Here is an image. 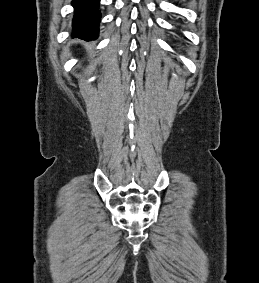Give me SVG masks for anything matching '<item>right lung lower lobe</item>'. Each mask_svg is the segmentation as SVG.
Returning a JSON list of instances; mask_svg holds the SVG:
<instances>
[{
	"instance_id": "98d812e1",
	"label": "right lung lower lobe",
	"mask_w": 259,
	"mask_h": 283,
	"mask_svg": "<svg viewBox=\"0 0 259 283\" xmlns=\"http://www.w3.org/2000/svg\"><path fill=\"white\" fill-rule=\"evenodd\" d=\"M99 0H73L75 9L73 19L74 36L86 41L98 37V25L100 12L98 11Z\"/></svg>"
}]
</instances>
